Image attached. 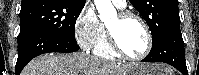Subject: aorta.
Returning a JSON list of instances; mask_svg holds the SVG:
<instances>
[{"instance_id":"aorta-1","label":"aorta","mask_w":199,"mask_h":75,"mask_svg":"<svg viewBox=\"0 0 199 75\" xmlns=\"http://www.w3.org/2000/svg\"><path fill=\"white\" fill-rule=\"evenodd\" d=\"M94 3L103 22L116 18L117 12L111 0H94Z\"/></svg>"}]
</instances>
